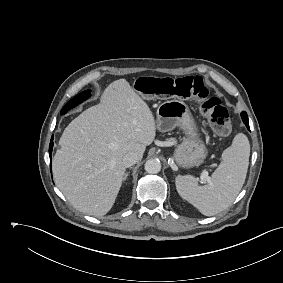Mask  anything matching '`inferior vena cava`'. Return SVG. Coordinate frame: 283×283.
<instances>
[{
  "mask_svg": "<svg viewBox=\"0 0 283 283\" xmlns=\"http://www.w3.org/2000/svg\"><path fill=\"white\" fill-rule=\"evenodd\" d=\"M138 162V156L135 153L129 152L125 154L122 158V164L124 167L128 168Z\"/></svg>",
  "mask_w": 283,
  "mask_h": 283,
  "instance_id": "inferior-vena-cava-1",
  "label": "inferior vena cava"
}]
</instances>
